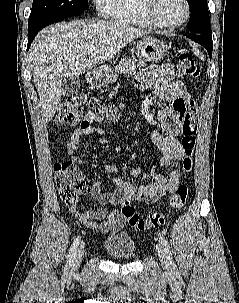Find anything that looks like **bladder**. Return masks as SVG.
<instances>
[{
	"label": "bladder",
	"mask_w": 239,
	"mask_h": 303,
	"mask_svg": "<svg viewBox=\"0 0 239 303\" xmlns=\"http://www.w3.org/2000/svg\"><path fill=\"white\" fill-rule=\"evenodd\" d=\"M103 248L111 258L128 261L136 256V242L128 233H121L107 239Z\"/></svg>",
	"instance_id": "1"
}]
</instances>
